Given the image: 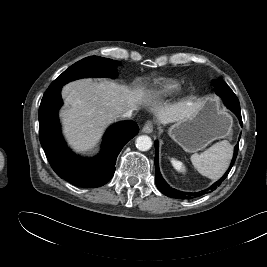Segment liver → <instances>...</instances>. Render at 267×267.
Segmentation results:
<instances>
[{"instance_id": "1", "label": "liver", "mask_w": 267, "mask_h": 267, "mask_svg": "<svg viewBox=\"0 0 267 267\" xmlns=\"http://www.w3.org/2000/svg\"><path fill=\"white\" fill-rule=\"evenodd\" d=\"M62 96L66 107L61 111L63 130L76 151L92 148L104 129L117 117L139 104L151 103V95L143 88L130 89L113 81L94 82L81 79L65 85ZM200 102L184 100L155 106L152 110L163 124L177 122L192 115Z\"/></svg>"}]
</instances>
